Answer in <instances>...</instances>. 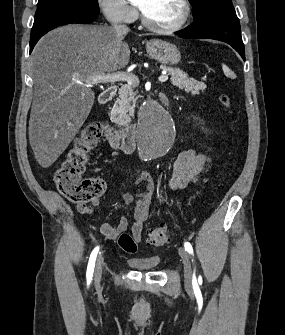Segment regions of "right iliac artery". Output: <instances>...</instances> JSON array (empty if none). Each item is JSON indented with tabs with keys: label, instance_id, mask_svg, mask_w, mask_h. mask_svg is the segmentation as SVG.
Wrapping results in <instances>:
<instances>
[{
	"label": "right iliac artery",
	"instance_id": "82829eb1",
	"mask_svg": "<svg viewBox=\"0 0 285 335\" xmlns=\"http://www.w3.org/2000/svg\"><path fill=\"white\" fill-rule=\"evenodd\" d=\"M99 251V247L97 246L91 253L90 258H89V263L87 267V281L90 282L92 280L93 272H94V267H95V261L97 257V253Z\"/></svg>",
	"mask_w": 285,
	"mask_h": 335
}]
</instances>
